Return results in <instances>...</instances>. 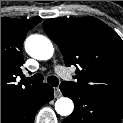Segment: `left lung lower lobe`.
<instances>
[{"label":"left lung lower lobe","instance_id":"0a47b994","mask_svg":"<svg viewBox=\"0 0 123 123\" xmlns=\"http://www.w3.org/2000/svg\"><path fill=\"white\" fill-rule=\"evenodd\" d=\"M60 90L75 104L73 113L62 123H120L123 118V102L100 97L62 82Z\"/></svg>","mask_w":123,"mask_h":123}]
</instances>
